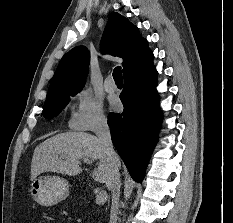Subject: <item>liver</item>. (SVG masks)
Returning a JSON list of instances; mask_svg holds the SVG:
<instances>
[{"mask_svg": "<svg viewBox=\"0 0 233 223\" xmlns=\"http://www.w3.org/2000/svg\"><path fill=\"white\" fill-rule=\"evenodd\" d=\"M82 161H88V163L94 161L92 179L105 183L108 187L113 175L109 157L102 149L98 137L84 131L57 133L39 143L34 149L31 161V179H35L45 171L62 173V175H78L83 171ZM118 167H120V161H118Z\"/></svg>", "mask_w": 233, "mask_h": 223, "instance_id": "1", "label": "liver"}]
</instances>
